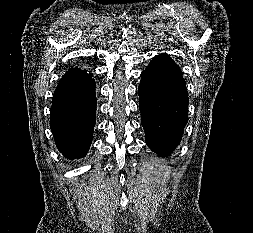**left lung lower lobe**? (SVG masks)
I'll list each match as a JSON object with an SVG mask.
<instances>
[{"label":"left lung lower lobe","mask_w":253,"mask_h":233,"mask_svg":"<svg viewBox=\"0 0 253 233\" xmlns=\"http://www.w3.org/2000/svg\"><path fill=\"white\" fill-rule=\"evenodd\" d=\"M138 93L146 143L168 156L180 143L188 120L189 98L179 66L167 54L157 55L141 73Z\"/></svg>","instance_id":"left-lung-lower-lobe-1"}]
</instances>
